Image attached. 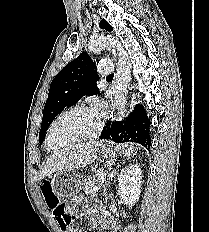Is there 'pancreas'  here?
I'll return each mask as SVG.
<instances>
[{
    "mask_svg": "<svg viewBox=\"0 0 209 232\" xmlns=\"http://www.w3.org/2000/svg\"><path fill=\"white\" fill-rule=\"evenodd\" d=\"M104 174L103 170L98 171L93 177L83 180V191L85 194H93L100 186L103 185V180L99 186H95V180L100 179L101 175ZM97 187V189H96Z\"/></svg>",
    "mask_w": 209,
    "mask_h": 232,
    "instance_id": "pancreas-1",
    "label": "pancreas"
}]
</instances>
